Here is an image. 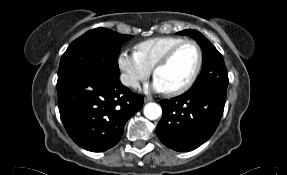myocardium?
Returning a JSON list of instances; mask_svg holds the SVG:
<instances>
[{"label":"myocardium","mask_w":287,"mask_h":175,"mask_svg":"<svg viewBox=\"0 0 287 175\" xmlns=\"http://www.w3.org/2000/svg\"><path fill=\"white\" fill-rule=\"evenodd\" d=\"M187 44H192L195 46V48L197 49L198 52V61H197V65L196 68L192 74V76L189 78V80L182 85L179 88L173 89V90H168L167 92L172 95V96H178L181 95L185 92H187L197 81L201 70H202V66H203V60H204V55H203V50L201 48V46L198 44V42H196L195 40H184L181 43L173 46L170 50H168L154 65L153 67V74L154 76H156L157 71L165 66L166 64H168L171 59L174 57V55L185 45Z\"/></svg>","instance_id":"obj_1"}]
</instances>
